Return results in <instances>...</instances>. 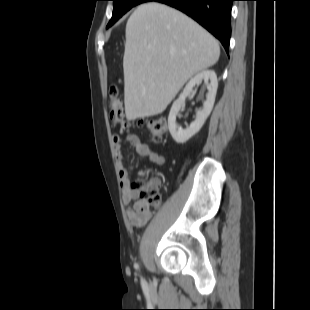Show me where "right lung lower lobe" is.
<instances>
[{"label": "right lung lower lobe", "mask_w": 310, "mask_h": 310, "mask_svg": "<svg viewBox=\"0 0 310 310\" xmlns=\"http://www.w3.org/2000/svg\"><path fill=\"white\" fill-rule=\"evenodd\" d=\"M172 6L206 28L229 51L231 8L234 0H148Z\"/></svg>", "instance_id": "obj_1"}]
</instances>
